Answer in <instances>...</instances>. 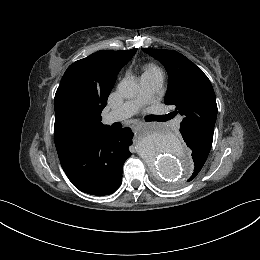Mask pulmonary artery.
<instances>
[{
    "mask_svg": "<svg viewBox=\"0 0 260 260\" xmlns=\"http://www.w3.org/2000/svg\"><path fill=\"white\" fill-rule=\"evenodd\" d=\"M163 79V74L160 71L143 76L141 78L142 90L139 95L135 99L127 101L120 107L110 111L106 116V122L113 123L131 117L160 90ZM181 121L182 118L179 117L175 122V126L179 127Z\"/></svg>",
    "mask_w": 260,
    "mask_h": 260,
    "instance_id": "pulmonary-artery-1",
    "label": "pulmonary artery"
}]
</instances>
